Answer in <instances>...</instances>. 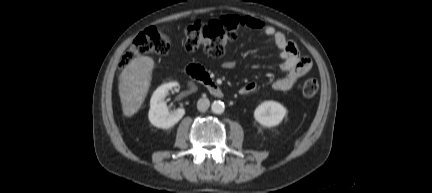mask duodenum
I'll return each mask as SVG.
<instances>
[{"mask_svg":"<svg viewBox=\"0 0 432 193\" xmlns=\"http://www.w3.org/2000/svg\"><path fill=\"white\" fill-rule=\"evenodd\" d=\"M185 72L189 78L204 84L209 93L214 97L221 98L224 96L222 88L210 77L204 68L197 65L188 66Z\"/></svg>","mask_w":432,"mask_h":193,"instance_id":"410a0bca","label":"duodenum"}]
</instances>
